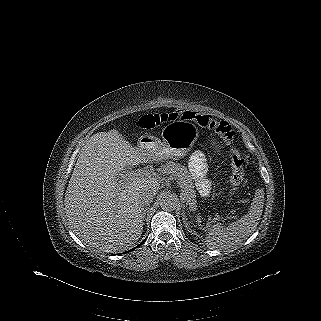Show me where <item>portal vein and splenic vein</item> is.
<instances>
[{"label":"portal vein and splenic vein","mask_w":321,"mask_h":321,"mask_svg":"<svg viewBox=\"0 0 321 321\" xmlns=\"http://www.w3.org/2000/svg\"><path fill=\"white\" fill-rule=\"evenodd\" d=\"M130 175H132V176H140V175L151 176V174L148 171H135V172H131Z\"/></svg>","instance_id":"18ae733b"}]
</instances>
